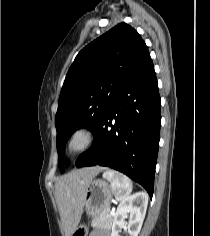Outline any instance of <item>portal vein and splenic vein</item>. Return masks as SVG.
Returning a JSON list of instances; mask_svg holds the SVG:
<instances>
[{
	"label": "portal vein and splenic vein",
	"mask_w": 210,
	"mask_h": 236,
	"mask_svg": "<svg viewBox=\"0 0 210 236\" xmlns=\"http://www.w3.org/2000/svg\"><path fill=\"white\" fill-rule=\"evenodd\" d=\"M114 211H115V210H114V209H112V211H111V213H110V214H111V215H114Z\"/></svg>",
	"instance_id": "1"
}]
</instances>
